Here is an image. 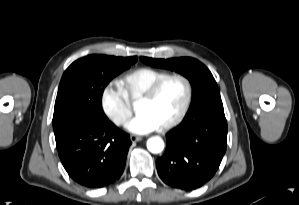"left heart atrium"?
<instances>
[{
  "label": "left heart atrium",
  "instance_id": "39dd6f15",
  "mask_svg": "<svg viewBox=\"0 0 299 205\" xmlns=\"http://www.w3.org/2000/svg\"><path fill=\"white\" fill-rule=\"evenodd\" d=\"M160 128L158 122L147 113H138L128 124L127 129L135 134H147Z\"/></svg>",
  "mask_w": 299,
  "mask_h": 205
}]
</instances>
